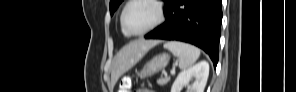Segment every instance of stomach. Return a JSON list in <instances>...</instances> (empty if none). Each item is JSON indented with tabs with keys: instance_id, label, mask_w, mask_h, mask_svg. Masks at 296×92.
<instances>
[{
	"instance_id": "stomach-1",
	"label": "stomach",
	"mask_w": 296,
	"mask_h": 92,
	"mask_svg": "<svg viewBox=\"0 0 296 92\" xmlns=\"http://www.w3.org/2000/svg\"><path fill=\"white\" fill-rule=\"evenodd\" d=\"M169 59L170 56L166 53H162L153 57L144 65L141 72L139 73V77L142 79L161 71L167 66Z\"/></svg>"
}]
</instances>
